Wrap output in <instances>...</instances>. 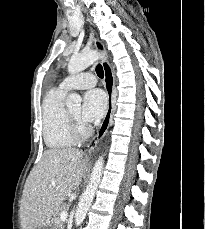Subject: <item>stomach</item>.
<instances>
[{"instance_id": "obj_1", "label": "stomach", "mask_w": 205, "mask_h": 229, "mask_svg": "<svg viewBox=\"0 0 205 229\" xmlns=\"http://www.w3.org/2000/svg\"><path fill=\"white\" fill-rule=\"evenodd\" d=\"M41 229H55L53 222L49 221Z\"/></svg>"}]
</instances>
